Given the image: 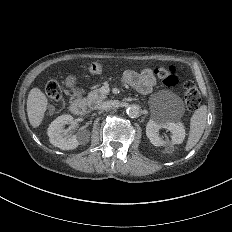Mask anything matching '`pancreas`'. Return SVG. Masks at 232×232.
<instances>
[{
  "label": "pancreas",
  "mask_w": 232,
  "mask_h": 232,
  "mask_svg": "<svg viewBox=\"0 0 232 232\" xmlns=\"http://www.w3.org/2000/svg\"><path fill=\"white\" fill-rule=\"evenodd\" d=\"M106 97L107 96L103 94L99 89H95L89 92L87 98H84L83 101L90 109H95L102 103V101Z\"/></svg>",
  "instance_id": "pancreas-1"
}]
</instances>
